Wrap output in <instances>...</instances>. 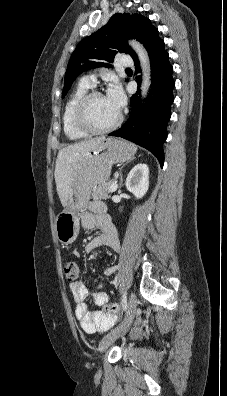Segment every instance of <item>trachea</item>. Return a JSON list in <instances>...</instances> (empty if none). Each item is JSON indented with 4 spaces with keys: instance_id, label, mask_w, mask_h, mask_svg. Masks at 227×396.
Here are the masks:
<instances>
[{
    "instance_id": "1",
    "label": "trachea",
    "mask_w": 227,
    "mask_h": 396,
    "mask_svg": "<svg viewBox=\"0 0 227 396\" xmlns=\"http://www.w3.org/2000/svg\"><path fill=\"white\" fill-rule=\"evenodd\" d=\"M126 71H131V69H130V68H127Z\"/></svg>"
}]
</instances>
